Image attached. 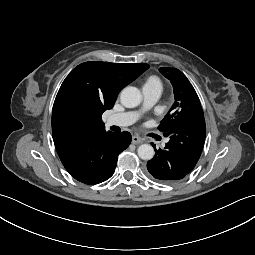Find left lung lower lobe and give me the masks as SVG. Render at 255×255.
I'll return each mask as SVG.
<instances>
[{
    "label": "left lung lower lobe",
    "mask_w": 255,
    "mask_h": 255,
    "mask_svg": "<svg viewBox=\"0 0 255 255\" xmlns=\"http://www.w3.org/2000/svg\"><path fill=\"white\" fill-rule=\"evenodd\" d=\"M206 134L204 116H197L172 128L164 149H156L155 156L148 161L151 177L162 183H175L186 177L198 162Z\"/></svg>",
    "instance_id": "obj_1"
}]
</instances>
